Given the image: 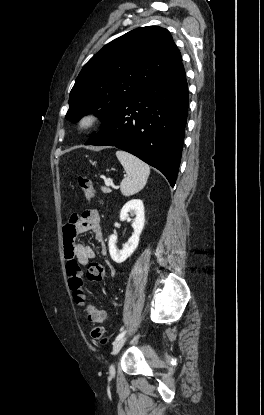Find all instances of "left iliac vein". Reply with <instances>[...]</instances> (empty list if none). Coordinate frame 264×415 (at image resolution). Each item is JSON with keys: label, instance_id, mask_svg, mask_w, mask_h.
<instances>
[{"label": "left iliac vein", "instance_id": "4c4485c4", "mask_svg": "<svg viewBox=\"0 0 264 415\" xmlns=\"http://www.w3.org/2000/svg\"><path fill=\"white\" fill-rule=\"evenodd\" d=\"M125 341H126V338L123 337V338H121V339H119V340H117V341L114 342V344H113V352H112L113 355H116L120 351V349L123 347ZM110 374L111 375H114L115 374L114 364H111V366H110Z\"/></svg>", "mask_w": 264, "mask_h": 415}]
</instances>
